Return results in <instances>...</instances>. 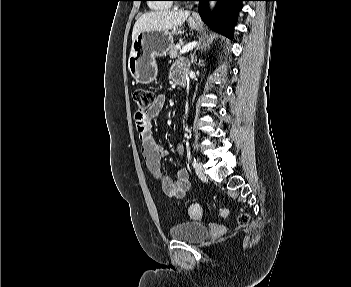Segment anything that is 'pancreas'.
I'll return each instance as SVG.
<instances>
[{
  "label": "pancreas",
  "mask_w": 351,
  "mask_h": 287,
  "mask_svg": "<svg viewBox=\"0 0 351 287\" xmlns=\"http://www.w3.org/2000/svg\"><path fill=\"white\" fill-rule=\"evenodd\" d=\"M183 46V42H180L178 44H174L171 49H170V52H169V56L170 58H176L177 57V54H178V51L180 49V47ZM179 57V56H178Z\"/></svg>",
  "instance_id": "cf45deb5"
}]
</instances>
